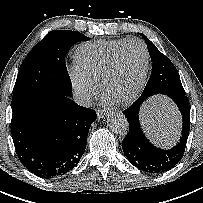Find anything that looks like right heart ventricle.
<instances>
[{"label":"right heart ventricle","mask_w":203,"mask_h":203,"mask_svg":"<svg viewBox=\"0 0 203 203\" xmlns=\"http://www.w3.org/2000/svg\"><path fill=\"white\" fill-rule=\"evenodd\" d=\"M126 40L117 39L83 44L75 52L76 65L94 81H100L113 54Z\"/></svg>","instance_id":"e07e8e85"}]
</instances>
